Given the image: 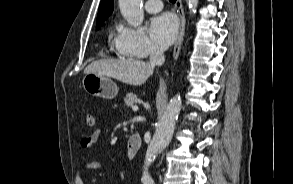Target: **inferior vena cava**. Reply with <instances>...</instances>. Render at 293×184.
<instances>
[{
    "instance_id": "602c4592",
    "label": "inferior vena cava",
    "mask_w": 293,
    "mask_h": 184,
    "mask_svg": "<svg viewBox=\"0 0 293 184\" xmlns=\"http://www.w3.org/2000/svg\"><path fill=\"white\" fill-rule=\"evenodd\" d=\"M165 62L164 50L158 45H153L150 50V65L160 66Z\"/></svg>"
}]
</instances>
